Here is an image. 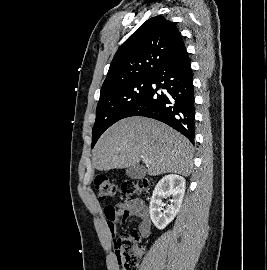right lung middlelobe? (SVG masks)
Listing matches in <instances>:
<instances>
[{"label": "right lung middle lobe", "instance_id": "1", "mask_svg": "<svg viewBox=\"0 0 267 270\" xmlns=\"http://www.w3.org/2000/svg\"><path fill=\"white\" fill-rule=\"evenodd\" d=\"M151 77L123 82L100 92L96 120L92 130V148L102 133L125 115L144 97Z\"/></svg>", "mask_w": 267, "mask_h": 270}]
</instances>
